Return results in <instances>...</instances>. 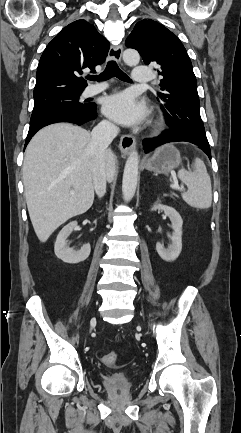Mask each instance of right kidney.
<instances>
[{"mask_svg": "<svg viewBox=\"0 0 241 433\" xmlns=\"http://www.w3.org/2000/svg\"><path fill=\"white\" fill-rule=\"evenodd\" d=\"M77 221L70 222L59 232L55 246L54 252L57 258L65 263L76 264L83 262L90 255L91 247L90 244H85L80 250H74L73 248L67 247L66 239L77 227Z\"/></svg>", "mask_w": 241, "mask_h": 433, "instance_id": "ca27d5eb", "label": "right kidney"}]
</instances>
